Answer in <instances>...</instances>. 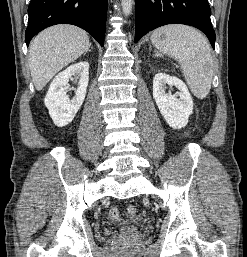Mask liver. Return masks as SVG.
Segmentation results:
<instances>
[{"mask_svg":"<svg viewBox=\"0 0 247 257\" xmlns=\"http://www.w3.org/2000/svg\"><path fill=\"white\" fill-rule=\"evenodd\" d=\"M91 44L86 31L73 25H55L41 31L29 48V67L40 91L69 63L86 53Z\"/></svg>","mask_w":247,"mask_h":257,"instance_id":"obj_1","label":"liver"}]
</instances>
